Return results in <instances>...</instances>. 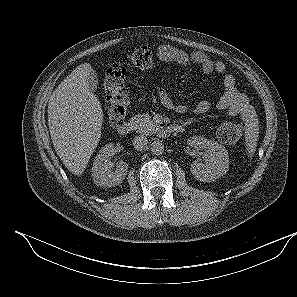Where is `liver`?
I'll use <instances>...</instances> for the list:
<instances>
[{
  "mask_svg": "<svg viewBox=\"0 0 297 297\" xmlns=\"http://www.w3.org/2000/svg\"><path fill=\"white\" fill-rule=\"evenodd\" d=\"M91 65L75 68L53 91L48 103V125L54 149L64 166L81 175L96 149L103 123L98 98L86 82Z\"/></svg>",
  "mask_w": 297,
  "mask_h": 297,
  "instance_id": "1",
  "label": "liver"
}]
</instances>
